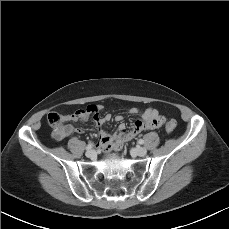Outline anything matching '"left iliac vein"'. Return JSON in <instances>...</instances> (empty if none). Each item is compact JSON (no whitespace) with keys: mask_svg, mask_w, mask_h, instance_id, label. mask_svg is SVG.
<instances>
[{"mask_svg":"<svg viewBox=\"0 0 229 229\" xmlns=\"http://www.w3.org/2000/svg\"><path fill=\"white\" fill-rule=\"evenodd\" d=\"M134 150V153L138 156H145L147 154V149L145 147H137Z\"/></svg>","mask_w":229,"mask_h":229,"instance_id":"left-iliac-vein-1","label":"left iliac vein"}]
</instances>
